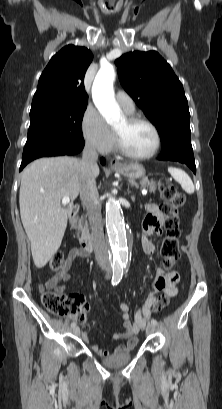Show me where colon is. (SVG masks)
Instances as JSON below:
<instances>
[{
	"label": "colon",
	"mask_w": 222,
	"mask_h": 409,
	"mask_svg": "<svg viewBox=\"0 0 222 409\" xmlns=\"http://www.w3.org/2000/svg\"><path fill=\"white\" fill-rule=\"evenodd\" d=\"M160 196L163 199L162 214L164 216L165 237L161 245V255L166 268L174 267L180 257L179 241L181 237L178 210L185 203V196L177 189L171 180L163 178L158 184ZM51 272H60L65 268V257L62 252L53 255L48 264ZM41 301L45 309L55 315H74L83 321V309L76 308L71 298L63 292L45 290L41 294ZM168 296L161 295L153 304V313L157 314L168 304Z\"/></svg>",
	"instance_id": "1"
}]
</instances>
